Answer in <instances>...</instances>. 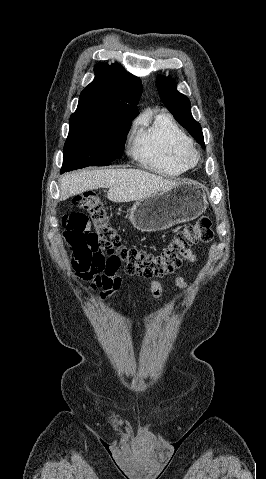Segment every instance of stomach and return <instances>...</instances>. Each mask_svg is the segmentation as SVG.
Listing matches in <instances>:
<instances>
[{
  "instance_id": "obj_1",
  "label": "stomach",
  "mask_w": 266,
  "mask_h": 479,
  "mask_svg": "<svg viewBox=\"0 0 266 479\" xmlns=\"http://www.w3.org/2000/svg\"><path fill=\"white\" fill-rule=\"evenodd\" d=\"M206 206L204 187L188 181L136 201L129 213L131 223L136 229L142 232H157L196 219Z\"/></svg>"
}]
</instances>
